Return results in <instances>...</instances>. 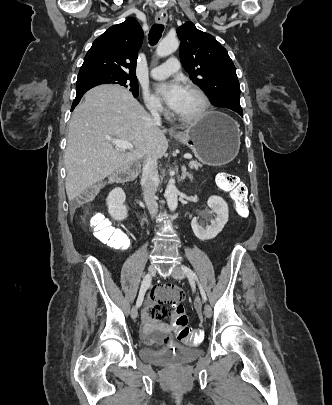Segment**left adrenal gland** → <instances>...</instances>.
Here are the masks:
<instances>
[{"label":"left adrenal gland","instance_id":"a2214340","mask_svg":"<svg viewBox=\"0 0 332 405\" xmlns=\"http://www.w3.org/2000/svg\"><path fill=\"white\" fill-rule=\"evenodd\" d=\"M181 170H182V175H181L180 180L183 181V180H185V178H189L190 181H192L193 176H192L191 173L187 172V169H186L185 165L182 166Z\"/></svg>","mask_w":332,"mask_h":405}]
</instances>
